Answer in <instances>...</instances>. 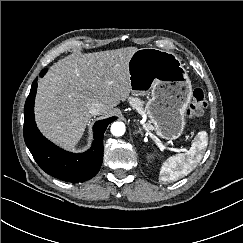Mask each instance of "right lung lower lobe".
Wrapping results in <instances>:
<instances>
[{"label": "right lung lower lobe", "mask_w": 243, "mask_h": 243, "mask_svg": "<svg viewBox=\"0 0 243 243\" xmlns=\"http://www.w3.org/2000/svg\"><path fill=\"white\" fill-rule=\"evenodd\" d=\"M42 70L40 76L46 73ZM38 77L36 78V80ZM34 80L24 107V140L40 168L47 174L66 182H83L94 177L103 160V134L112 121L111 117L95 123L94 142L85 153L73 154L58 148L38 130L34 120V100L37 81Z\"/></svg>", "instance_id": "1"}]
</instances>
